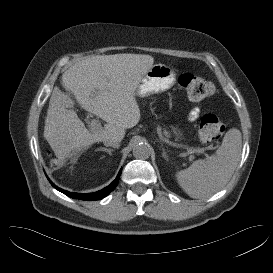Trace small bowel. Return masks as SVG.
Wrapping results in <instances>:
<instances>
[{
  "label": "small bowel",
  "instance_id": "obj_1",
  "mask_svg": "<svg viewBox=\"0 0 273 273\" xmlns=\"http://www.w3.org/2000/svg\"><path fill=\"white\" fill-rule=\"evenodd\" d=\"M197 112H198V111H194L193 116H195V115L197 114Z\"/></svg>",
  "mask_w": 273,
  "mask_h": 273
}]
</instances>
